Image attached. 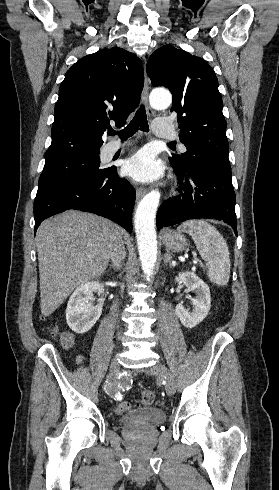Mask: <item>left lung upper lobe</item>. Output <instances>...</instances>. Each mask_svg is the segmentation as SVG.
Masks as SVG:
<instances>
[{
  "label": "left lung upper lobe",
  "instance_id": "left-lung-upper-lobe-1",
  "mask_svg": "<svg viewBox=\"0 0 279 490\" xmlns=\"http://www.w3.org/2000/svg\"><path fill=\"white\" fill-rule=\"evenodd\" d=\"M153 86H165L173 95L170 112L177 113L179 139L187 151L172 154V166L185 170L196 162H212L231 169L223 101L214 70L200 57L165 45L147 62Z\"/></svg>",
  "mask_w": 279,
  "mask_h": 490
}]
</instances>
